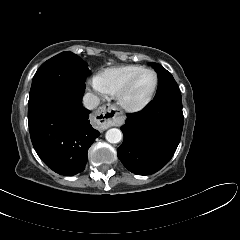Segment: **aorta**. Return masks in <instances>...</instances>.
Segmentation results:
<instances>
[{
  "label": "aorta",
  "instance_id": "obj_1",
  "mask_svg": "<svg viewBox=\"0 0 240 240\" xmlns=\"http://www.w3.org/2000/svg\"><path fill=\"white\" fill-rule=\"evenodd\" d=\"M106 140L109 142V143H119L121 140H122V132L117 129V128H112V129H109L107 132H106Z\"/></svg>",
  "mask_w": 240,
  "mask_h": 240
}]
</instances>
